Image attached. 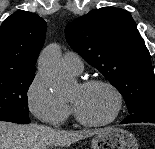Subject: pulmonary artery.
Instances as JSON below:
<instances>
[{
    "instance_id": "obj_1",
    "label": "pulmonary artery",
    "mask_w": 155,
    "mask_h": 149,
    "mask_svg": "<svg viewBox=\"0 0 155 149\" xmlns=\"http://www.w3.org/2000/svg\"><path fill=\"white\" fill-rule=\"evenodd\" d=\"M63 65L67 72L78 75L83 71L82 58L73 52H68L63 57Z\"/></svg>"
}]
</instances>
